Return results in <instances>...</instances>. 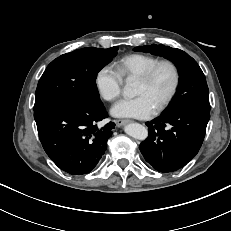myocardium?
Here are the masks:
<instances>
[{
	"label": "myocardium",
	"instance_id": "myocardium-1",
	"mask_svg": "<svg viewBox=\"0 0 231 231\" xmlns=\"http://www.w3.org/2000/svg\"><path fill=\"white\" fill-rule=\"evenodd\" d=\"M164 66H167L171 69L173 74V83L167 96L156 107L155 112L157 113L163 111L169 106L179 90L181 83V73L178 65L171 59H162L156 62L153 66H151L147 71H145L137 78V81L149 83L152 81L158 70Z\"/></svg>",
	"mask_w": 231,
	"mask_h": 231
}]
</instances>
